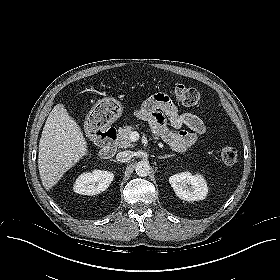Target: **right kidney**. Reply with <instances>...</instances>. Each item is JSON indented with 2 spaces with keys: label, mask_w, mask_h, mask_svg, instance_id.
<instances>
[{
  "label": "right kidney",
  "mask_w": 280,
  "mask_h": 280,
  "mask_svg": "<svg viewBox=\"0 0 280 280\" xmlns=\"http://www.w3.org/2000/svg\"><path fill=\"white\" fill-rule=\"evenodd\" d=\"M114 175L111 172L103 170H94L81 174L75 181L73 190L81 195H96L105 191L111 182Z\"/></svg>",
  "instance_id": "obj_1"
}]
</instances>
